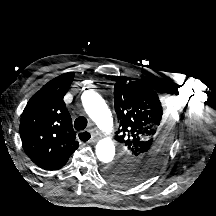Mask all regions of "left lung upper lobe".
<instances>
[{
	"label": "left lung upper lobe",
	"instance_id": "1",
	"mask_svg": "<svg viewBox=\"0 0 216 216\" xmlns=\"http://www.w3.org/2000/svg\"><path fill=\"white\" fill-rule=\"evenodd\" d=\"M114 106L119 123L115 139L122 151L103 174L114 184L128 186L147 179L161 166L170 151L175 118L161 106L148 81L115 83Z\"/></svg>",
	"mask_w": 216,
	"mask_h": 216
}]
</instances>
